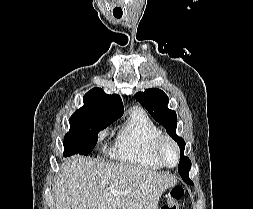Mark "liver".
Segmentation results:
<instances>
[{
	"label": "liver",
	"mask_w": 253,
	"mask_h": 209,
	"mask_svg": "<svg viewBox=\"0 0 253 209\" xmlns=\"http://www.w3.org/2000/svg\"><path fill=\"white\" fill-rule=\"evenodd\" d=\"M177 178L140 166L66 158L53 185L56 209H158Z\"/></svg>",
	"instance_id": "liver-1"
}]
</instances>
